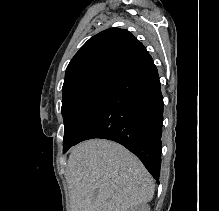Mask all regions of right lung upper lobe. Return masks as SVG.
<instances>
[{
  "label": "right lung upper lobe",
  "instance_id": "1",
  "mask_svg": "<svg viewBox=\"0 0 219 211\" xmlns=\"http://www.w3.org/2000/svg\"><path fill=\"white\" fill-rule=\"evenodd\" d=\"M153 62L130 32L110 28L90 38L70 61L62 89L63 99L99 84L117 85Z\"/></svg>",
  "mask_w": 219,
  "mask_h": 211
}]
</instances>
